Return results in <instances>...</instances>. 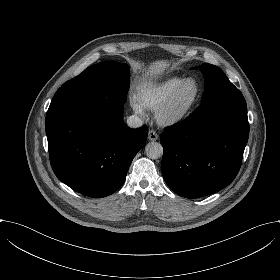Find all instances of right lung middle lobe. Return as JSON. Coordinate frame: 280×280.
<instances>
[{"label": "right lung middle lobe", "instance_id": "dd1d6c3e", "mask_svg": "<svg viewBox=\"0 0 280 280\" xmlns=\"http://www.w3.org/2000/svg\"><path fill=\"white\" fill-rule=\"evenodd\" d=\"M129 66L115 61H104L85 69L59 89L88 90L124 104L130 85Z\"/></svg>", "mask_w": 280, "mask_h": 280}]
</instances>
